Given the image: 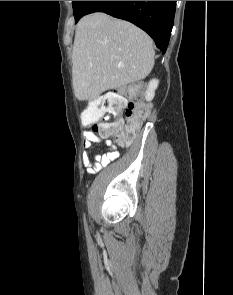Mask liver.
Listing matches in <instances>:
<instances>
[{
    "instance_id": "obj_1",
    "label": "liver",
    "mask_w": 233,
    "mask_h": 295,
    "mask_svg": "<svg viewBox=\"0 0 233 295\" xmlns=\"http://www.w3.org/2000/svg\"><path fill=\"white\" fill-rule=\"evenodd\" d=\"M152 39L130 22L96 12L77 24L72 84L80 101L144 79L154 66Z\"/></svg>"
}]
</instances>
